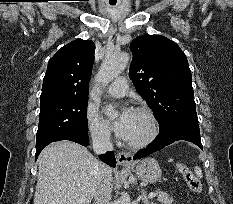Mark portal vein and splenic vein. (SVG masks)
Masks as SVG:
<instances>
[{"label":"portal vein and splenic vein","mask_w":233,"mask_h":204,"mask_svg":"<svg viewBox=\"0 0 233 204\" xmlns=\"http://www.w3.org/2000/svg\"><path fill=\"white\" fill-rule=\"evenodd\" d=\"M156 195H157L156 192H151V193L149 194V198H153V197H155Z\"/></svg>","instance_id":"1"}]
</instances>
